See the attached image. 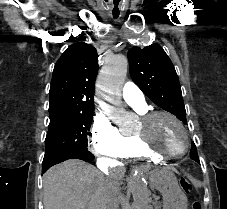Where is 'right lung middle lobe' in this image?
I'll return each mask as SVG.
<instances>
[{"mask_svg": "<svg viewBox=\"0 0 227 209\" xmlns=\"http://www.w3.org/2000/svg\"><path fill=\"white\" fill-rule=\"evenodd\" d=\"M45 139L42 169L47 170L49 159L65 153H87V135L94 114V100L63 99L55 103Z\"/></svg>", "mask_w": 227, "mask_h": 209, "instance_id": "obj_1", "label": "right lung middle lobe"}]
</instances>
